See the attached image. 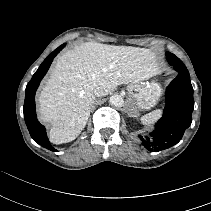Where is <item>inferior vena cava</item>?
I'll list each match as a JSON object with an SVG mask.
<instances>
[{
    "instance_id": "602c4592",
    "label": "inferior vena cava",
    "mask_w": 211,
    "mask_h": 211,
    "mask_svg": "<svg viewBox=\"0 0 211 211\" xmlns=\"http://www.w3.org/2000/svg\"><path fill=\"white\" fill-rule=\"evenodd\" d=\"M94 95L97 97H101L104 95V91L101 87H96L94 90Z\"/></svg>"
}]
</instances>
